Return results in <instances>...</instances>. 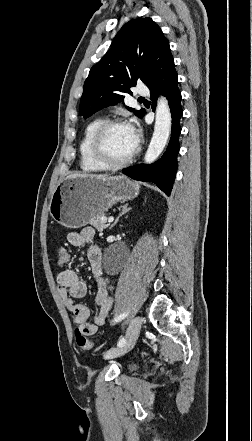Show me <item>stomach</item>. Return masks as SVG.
I'll return each instance as SVG.
<instances>
[{
    "mask_svg": "<svg viewBox=\"0 0 252 441\" xmlns=\"http://www.w3.org/2000/svg\"><path fill=\"white\" fill-rule=\"evenodd\" d=\"M140 186L123 175L106 178H66L54 190L49 211L67 228H79L98 218L119 201L138 196Z\"/></svg>",
    "mask_w": 252,
    "mask_h": 441,
    "instance_id": "0dacf381",
    "label": "stomach"
}]
</instances>
